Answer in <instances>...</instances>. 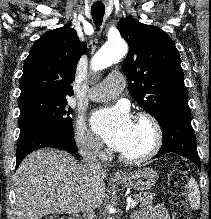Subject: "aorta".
Returning a JSON list of instances; mask_svg holds the SVG:
<instances>
[{
	"instance_id": "obj_1",
	"label": "aorta",
	"mask_w": 211,
	"mask_h": 219,
	"mask_svg": "<svg viewBox=\"0 0 211 219\" xmlns=\"http://www.w3.org/2000/svg\"><path fill=\"white\" fill-rule=\"evenodd\" d=\"M127 51L128 47L122 39L108 41L94 56L92 68L101 70L109 67L114 62L121 59Z\"/></svg>"
}]
</instances>
